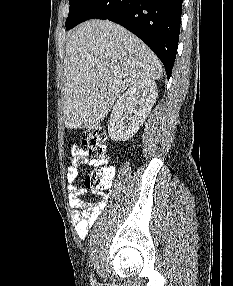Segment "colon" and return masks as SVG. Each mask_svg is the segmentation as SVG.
<instances>
[{"mask_svg":"<svg viewBox=\"0 0 233 286\" xmlns=\"http://www.w3.org/2000/svg\"><path fill=\"white\" fill-rule=\"evenodd\" d=\"M105 134L101 129L86 131L83 137V150L88 156L101 162H106ZM114 173L110 167H99L91 172L85 179L84 186L91 190H104L111 186Z\"/></svg>","mask_w":233,"mask_h":286,"instance_id":"obj_1","label":"colon"}]
</instances>
